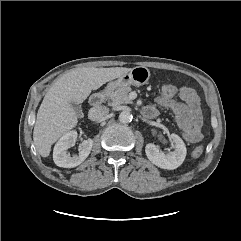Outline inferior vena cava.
Returning a JSON list of instances; mask_svg holds the SVG:
<instances>
[{"label": "inferior vena cava", "instance_id": "obj_1", "mask_svg": "<svg viewBox=\"0 0 241 241\" xmlns=\"http://www.w3.org/2000/svg\"><path fill=\"white\" fill-rule=\"evenodd\" d=\"M109 113V108L106 106H97L91 108L89 111V117L93 121L104 119Z\"/></svg>", "mask_w": 241, "mask_h": 241}]
</instances>
